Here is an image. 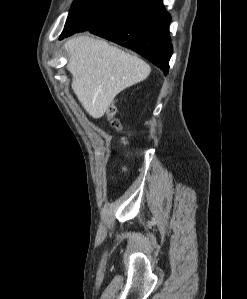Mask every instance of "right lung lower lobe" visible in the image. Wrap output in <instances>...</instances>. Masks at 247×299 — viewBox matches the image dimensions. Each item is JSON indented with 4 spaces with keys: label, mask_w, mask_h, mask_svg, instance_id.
Segmentation results:
<instances>
[{
    "label": "right lung lower lobe",
    "mask_w": 247,
    "mask_h": 299,
    "mask_svg": "<svg viewBox=\"0 0 247 299\" xmlns=\"http://www.w3.org/2000/svg\"><path fill=\"white\" fill-rule=\"evenodd\" d=\"M170 21L162 0H135L121 15L89 31L134 50L167 74L173 49Z\"/></svg>",
    "instance_id": "right-lung-lower-lobe-1"
}]
</instances>
